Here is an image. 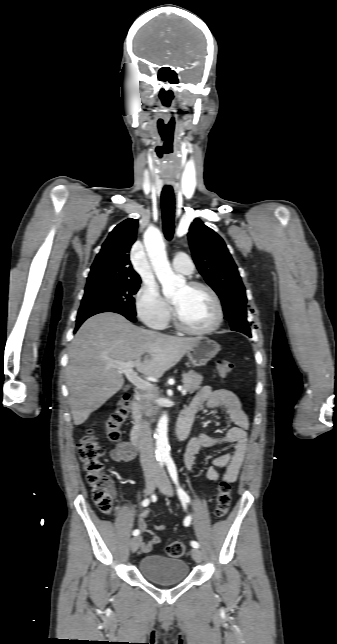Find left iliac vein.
I'll return each instance as SVG.
<instances>
[{
  "instance_id": "4c4485c4",
  "label": "left iliac vein",
  "mask_w": 337,
  "mask_h": 644,
  "mask_svg": "<svg viewBox=\"0 0 337 644\" xmlns=\"http://www.w3.org/2000/svg\"><path fill=\"white\" fill-rule=\"evenodd\" d=\"M158 487H159L160 492H162L163 494L168 495V496H172V494H173L172 487H171L169 478H168V476L166 474H163V476L161 477V479H160V481L158 483ZM191 555H192V558L197 563H200L202 561V553L198 548H193L191 550Z\"/></svg>"
}]
</instances>
